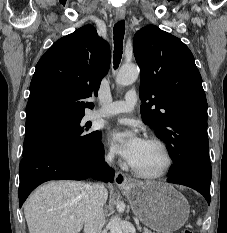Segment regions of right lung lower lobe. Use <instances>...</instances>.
Segmentation results:
<instances>
[{
	"instance_id": "right-lung-lower-lobe-1",
	"label": "right lung lower lobe",
	"mask_w": 227,
	"mask_h": 233,
	"mask_svg": "<svg viewBox=\"0 0 227 233\" xmlns=\"http://www.w3.org/2000/svg\"><path fill=\"white\" fill-rule=\"evenodd\" d=\"M100 139L85 148L51 147L23 156L19 166V206L37 186L49 180L92 177L113 182L114 170L104 162V148Z\"/></svg>"
}]
</instances>
